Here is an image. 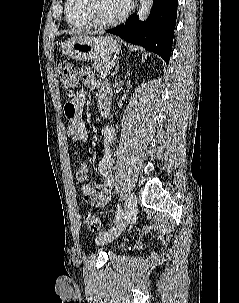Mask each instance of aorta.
<instances>
[{
    "mask_svg": "<svg viewBox=\"0 0 239 303\" xmlns=\"http://www.w3.org/2000/svg\"><path fill=\"white\" fill-rule=\"evenodd\" d=\"M152 5L153 0H139L138 15L140 20L144 21L145 19H147Z\"/></svg>",
    "mask_w": 239,
    "mask_h": 303,
    "instance_id": "762f6f07",
    "label": "aorta"
}]
</instances>
